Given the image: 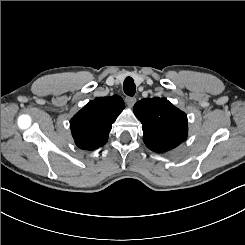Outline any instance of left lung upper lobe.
<instances>
[{
  "label": "left lung upper lobe",
  "mask_w": 245,
  "mask_h": 245,
  "mask_svg": "<svg viewBox=\"0 0 245 245\" xmlns=\"http://www.w3.org/2000/svg\"><path fill=\"white\" fill-rule=\"evenodd\" d=\"M134 113L142 123L144 143L154 152H167L187 138V115L165 98L142 99Z\"/></svg>",
  "instance_id": "left-lung-upper-lobe-1"
}]
</instances>
